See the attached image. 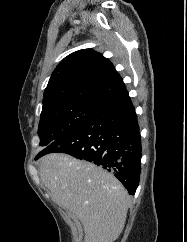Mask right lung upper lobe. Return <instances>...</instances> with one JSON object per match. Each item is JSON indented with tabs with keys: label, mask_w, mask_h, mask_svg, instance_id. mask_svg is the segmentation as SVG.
I'll return each instance as SVG.
<instances>
[{
	"label": "right lung upper lobe",
	"mask_w": 187,
	"mask_h": 242,
	"mask_svg": "<svg viewBox=\"0 0 187 242\" xmlns=\"http://www.w3.org/2000/svg\"><path fill=\"white\" fill-rule=\"evenodd\" d=\"M126 95L113 64L100 53L83 49L68 55L54 70L44 92L42 112L72 103L104 107Z\"/></svg>",
	"instance_id": "cb5924a9"
}]
</instances>
